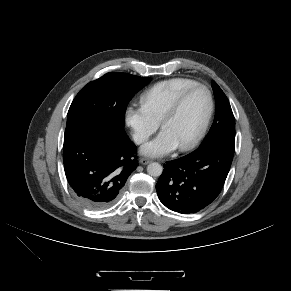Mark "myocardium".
<instances>
[{
  "instance_id": "myocardium-1",
  "label": "myocardium",
  "mask_w": 291,
  "mask_h": 291,
  "mask_svg": "<svg viewBox=\"0 0 291 291\" xmlns=\"http://www.w3.org/2000/svg\"><path fill=\"white\" fill-rule=\"evenodd\" d=\"M197 89H202L206 92L207 96H208V101H209V106H208V110H207V114L203 120V123L200 127V129L198 130V132L193 136L192 139H190L187 143L178 146V149L180 151H188L190 149H192L193 147H195L200 140L203 138V136L205 135L208 126L210 124V121L212 119L213 113H214V108H215V102H214V97L213 94L211 92V90L204 84H200L197 83L191 87H188L187 89L183 90L177 97L176 99L173 101V103L169 106V108L166 110V112L164 113V115L162 116L161 120H160V125L161 128H163L164 124L171 119L181 108L182 104L184 103V101L186 100V98L195 90Z\"/></svg>"
}]
</instances>
